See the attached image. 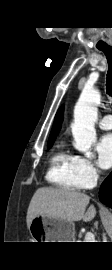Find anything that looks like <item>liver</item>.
I'll return each instance as SVG.
<instances>
[{"mask_svg": "<svg viewBox=\"0 0 112 270\" xmlns=\"http://www.w3.org/2000/svg\"><path fill=\"white\" fill-rule=\"evenodd\" d=\"M90 197L67 188L42 187L34 193L27 211V227L36 216H47L66 221H91L96 215L94 205L86 210Z\"/></svg>", "mask_w": 112, "mask_h": 270, "instance_id": "obj_1", "label": "liver"}]
</instances>
